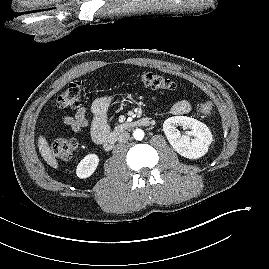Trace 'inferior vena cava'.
I'll use <instances>...</instances> for the list:
<instances>
[{
	"label": "inferior vena cava",
	"instance_id": "1",
	"mask_svg": "<svg viewBox=\"0 0 269 269\" xmlns=\"http://www.w3.org/2000/svg\"><path fill=\"white\" fill-rule=\"evenodd\" d=\"M129 137H130V134L128 132H123L118 136L117 140L119 143H126Z\"/></svg>",
	"mask_w": 269,
	"mask_h": 269
}]
</instances>
